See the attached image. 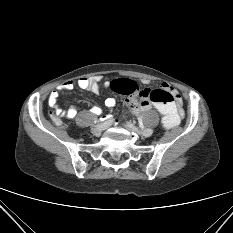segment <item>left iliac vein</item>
Masks as SVG:
<instances>
[{"mask_svg": "<svg viewBox=\"0 0 233 233\" xmlns=\"http://www.w3.org/2000/svg\"><path fill=\"white\" fill-rule=\"evenodd\" d=\"M125 127L129 130V131H131V132H133V133H135V134H137V135H140V136H144L142 133L145 131V130H140V129H138L136 126H134L133 124H131L130 122H127L126 124H125ZM147 130V129H146ZM151 130V129H150Z\"/></svg>", "mask_w": 233, "mask_h": 233, "instance_id": "4c4485c4", "label": "left iliac vein"}]
</instances>
